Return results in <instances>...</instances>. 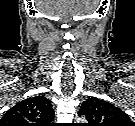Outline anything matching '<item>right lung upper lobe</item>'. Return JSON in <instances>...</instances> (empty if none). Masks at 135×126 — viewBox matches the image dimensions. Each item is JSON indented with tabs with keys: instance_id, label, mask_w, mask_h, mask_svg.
I'll use <instances>...</instances> for the list:
<instances>
[{
	"instance_id": "1",
	"label": "right lung upper lobe",
	"mask_w": 135,
	"mask_h": 126,
	"mask_svg": "<svg viewBox=\"0 0 135 126\" xmlns=\"http://www.w3.org/2000/svg\"><path fill=\"white\" fill-rule=\"evenodd\" d=\"M53 117L50 101L38 95L11 107L0 120V126H48Z\"/></svg>"
}]
</instances>
